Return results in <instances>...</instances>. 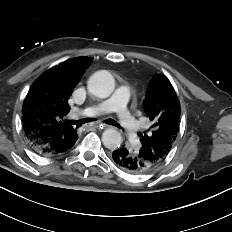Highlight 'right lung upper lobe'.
<instances>
[{
  "label": "right lung upper lobe",
  "instance_id": "cb5924a9",
  "mask_svg": "<svg viewBox=\"0 0 232 232\" xmlns=\"http://www.w3.org/2000/svg\"><path fill=\"white\" fill-rule=\"evenodd\" d=\"M92 58L77 57L60 63L41 75L31 86L23 103L22 126L36 150L77 138L63 117L69 112L68 99Z\"/></svg>",
  "mask_w": 232,
  "mask_h": 232
}]
</instances>
